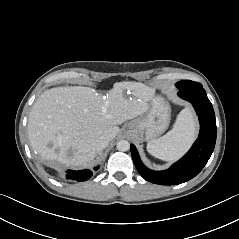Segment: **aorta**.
I'll return each mask as SVG.
<instances>
[{
  "label": "aorta",
  "instance_id": "762f6f07",
  "mask_svg": "<svg viewBox=\"0 0 239 239\" xmlns=\"http://www.w3.org/2000/svg\"><path fill=\"white\" fill-rule=\"evenodd\" d=\"M116 148L119 151H127L130 148V143L127 140H121L117 143Z\"/></svg>",
  "mask_w": 239,
  "mask_h": 239
}]
</instances>
